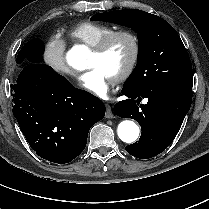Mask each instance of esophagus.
<instances>
[{
    "label": "esophagus",
    "instance_id": "1",
    "mask_svg": "<svg viewBox=\"0 0 209 209\" xmlns=\"http://www.w3.org/2000/svg\"><path fill=\"white\" fill-rule=\"evenodd\" d=\"M106 118H113L114 114L112 112V108L109 104H106V114H105Z\"/></svg>",
    "mask_w": 209,
    "mask_h": 209
}]
</instances>
